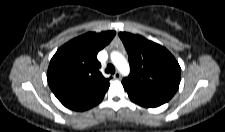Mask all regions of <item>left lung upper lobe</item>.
Listing matches in <instances>:
<instances>
[{
	"mask_svg": "<svg viewBox=\"0 0 225 132\" xmlns=\"http://www.w3.org/2000/svg\"><path fill=\"white\" fill-rule=\"evenodd\" d=\"M128 52L131 72L122 80L124 89L134 102H168L178 90L181 68L163 46L140 35L120 32Z\"/></svg>",
	"mask_w": 225,
	"mask_h": 132,
	"instance_id": "1",
	"label": "left lung upper lobe"
}]
</instances>
